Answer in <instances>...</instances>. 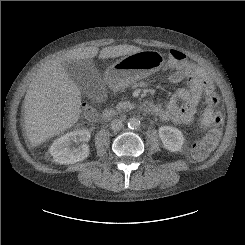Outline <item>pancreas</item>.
<instances>
[{
    "mask_svg": "<svg viewBox=\"0 0 245 245\" xmlns=\"http://www.w3.org/2000/svg\"><path fill=\"white\" fill-rule=\"evenodd\" d=\"M132 107H133V104L129 101L120 102L117 105L118 109H127V108H132Z\"/></svg>",
    "mask_w": 245,
    "mask_h": 245,
    "instance_id": "obj_1",
    "label": "pancreas"
}]
</instances>
